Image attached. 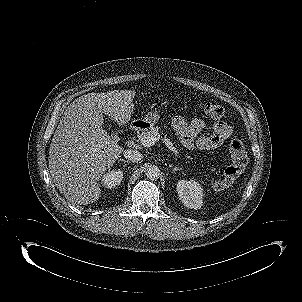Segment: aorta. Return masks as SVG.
<instances>
[{
    "instance_id": "1",
    "label": "aorta",
    "mask_w": 302,
    "mask_h": 302,
    "mask_svg": "<svg viewBox=\"0 0 302 302\" xmlns=\"http://www.w3.org/2000/svg\"><path fill=\"white\" fill-rule=\"evenodd\" d=\"M146 176L150 180H157L160 177V169L157 166H150L146 170Z\"/></svg>"
}]
</instances>
